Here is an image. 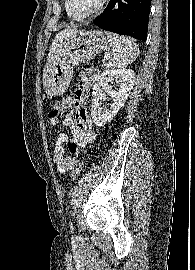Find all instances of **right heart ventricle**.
Returning a JSON list of instances; mask_svg holds the SVG:
<instances>
[{
  "label": "right heart ventricle",
  "instance_id": "right-heart-ventricle-1",
  "mask_svg": "<svg viewBox=\"0 0 195 270\" xmlns=\"http://www.w3.org/2000/svg\"><path fill=\"white\" fill-rule=\"evenodd\" d=\"M64 7H65V10H66L67 15H68L70 18H72L73 20H76V21L82 20L81 18L77 17L75 14H73V13L70 11V9H69V7H68L67 0H64Z\"/></svg>",
  "mask_w": 195,
  "mask_h": 270
}]
</instances>
